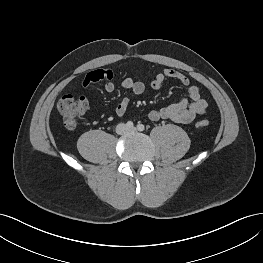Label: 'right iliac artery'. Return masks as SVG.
<instances>
[{"mask_svg":"<svg viewBox=\"0 0 263 263\" xmlns=\"http://www.w3.org/2000/svg\"><path fill=\"white\" fill-rule=\"evenodd\" d=\"M126 126H127L128 128H133L134 124H133L132 121H128V122L126 123Z\"/></svg>","mask_w":263,"mask_h":263,"instance_id":"82829eb1","label":"right iliac artery"}]
</instances>
